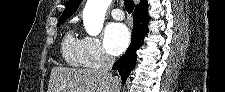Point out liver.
Segmentation results:
<instances>
[{"instance_id":"6515ba94","label":"liver","mask_w":225,"mask_h":92,"mask_svg":"<svg viewBox=\"0 0 225 92\" xmlns=\"http://www.w3.org/2000/svg\"><path fill=\"white\" fill-rule=\"evenodd\" d=\"M119 80L101 69L54 67L47 92H114Z\"/></svg>"}]
</instances>
